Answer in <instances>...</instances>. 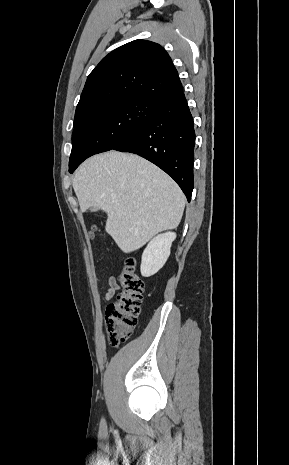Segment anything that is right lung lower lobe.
<instances>
[{
    "label": "right lung lower lobe",
    "mask_w": 289,
    "mask_h": 465,
    "mask_svg": "<svg viewBox=\"0 0 289 465\" xmlns=\"http://www.w3.org/2000/svg\"><path fill=\"white\" fill-rule=\"evenodd\" d=\"M194 145L193 118L181 91L158 101L152 117L113 149L138 154L160 167L178 183L190 201L194 186ZM79 164L69 172L73 173Z\"/></svg>",
    "instance_id": "1"
}]
</instances>
